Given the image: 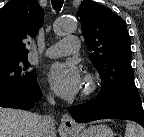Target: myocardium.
I'll list each match as a JSON object with an SVG mask.
<instances>
[{"label":"myocardium","instance_id":"f54148a6","mask_svg":"<svg viewBox=\"0 0 144 137\" xmlns=\"http://www.w3.org/2000/svg\"><path fill=\"white\" fill-rule=\"evenodd\" d=\"M97 86V78L92 73H87L85 76V83L83 89L84 96H89L93 94L97 89Z\"/></svg>","mask_w":144,"mask_h":137}]
</instances>
